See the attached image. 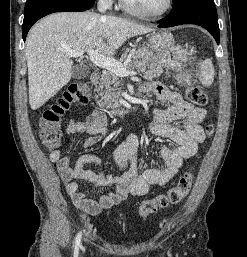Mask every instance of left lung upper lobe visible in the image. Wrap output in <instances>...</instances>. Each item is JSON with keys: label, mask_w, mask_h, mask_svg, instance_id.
Returning a JSON list of instances; mask_svg holds the SVG:
<instances>
[{"label": "left lung upper lobe", "mask_w": 247, "mask_h": 257, "mask_svg": "<svg viewBox=\"0 0 247 257\" xmlns=\"http://www.w3.org/2000/svg\"><path fill=\"white\" fill-rule=\"evenodd\" d=\"M184 0H173V5L183 2Z\"/></svg>", "instance_id": "obj_1"}]
</instances>
